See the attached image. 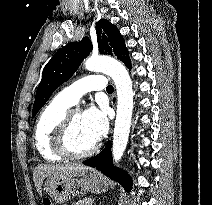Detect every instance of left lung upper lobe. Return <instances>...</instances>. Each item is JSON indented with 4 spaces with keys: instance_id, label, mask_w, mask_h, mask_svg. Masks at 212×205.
<instances>
[{
    "instance_id": "obj_1",
    "label": "left lung upper lobe",
    "mask_w": 212,
    "mask_h": 205,
    "mask_svg": "<svg viewBox=\"0 0 212 205\" xmlns=\"http://www.w3.org/2000/svg\"><path fill=\"white\" fill-rule=\"evenodd\" d=\"M96 33L101 54L115 55L122 62L129 58L123 37L109 21L99 20L96 24ZM91 51L92 43L89 38L84 37L80 42L67 44L53 55L42 72V79L33 105V117L48 101L55 89L75 73Z\"/></svg>"
}]
</instances>
